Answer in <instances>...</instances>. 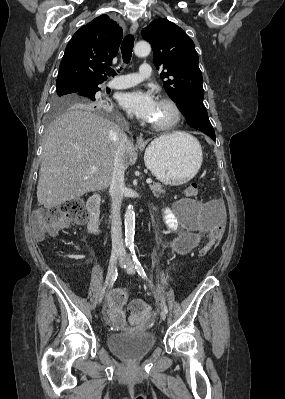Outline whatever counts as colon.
<instances>
[{"instance_id": "5ec220e1", "label": "colon", "mask_w": 285, "mask_h": 399, "mask_svg": "<svg viewBox=\"0 0 285 399\" xmlns=\"http://www.w3.org/2000/svg\"><path fill=\"white\" fill-rule=\"evenodd\" d=\"M198 193L199 186L195 182L190 183L184 191L187 197H196ZM86 218L87 213L83 207L82 201L78 198H74L60 205L42 207L35 210L31 215L30 223L36 235L44 236L67 228L70 223H83ZM220 240V235L215 233L203 247L202 253L206 254L217 247ZM129 310L134 316L140 318L148 317L151 311L150 307L141 299L133 300Z\"/></svg>"}]
</instances>
